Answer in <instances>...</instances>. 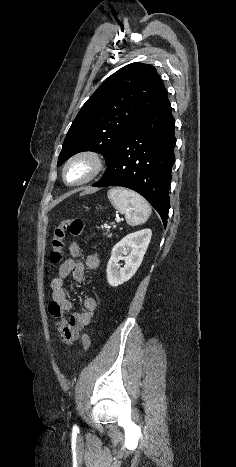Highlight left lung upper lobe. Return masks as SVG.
<instances>
[{
  "label": "left lung upper lobe",
  "mask_w": 236,
  "mask_h": 467,
  "mask_svg": "<svg viewBox=\"0 0 236 467\" xmlns=\"http://www.w3.org/2000/svg\"><path fill=\"white\" fill-rule=\"evenodd\" d=\"M166 95L152 65L133 63L119 69L82 106L68 130L57 166L81 151L98 152L108 163L127 132Z\"/></svg>",
  "instance_id": "obj_1"
}]
</instances>
